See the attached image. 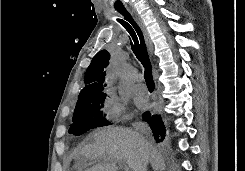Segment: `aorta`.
<instances>
[{"label": "aorta", "instance_id": "762f6f07", "mask_svg": "<svg viewBox=\"0 0 245 171\" xmlns=\"http://www.w3.org/2000/svg\"><path fill=\"white\" fill-rule=\"evenodd\" d=\"M122 73V68L120 66H112L108 72V80L111 82L117 81Z\"/></svg>", "mask_w": 245, "mask_h": 171}]
</instances>
